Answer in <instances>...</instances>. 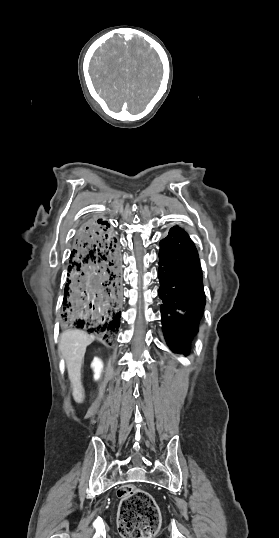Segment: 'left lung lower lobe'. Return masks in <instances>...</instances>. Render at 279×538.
<instances>
[{
    "label": "left lung lower lobe",
    "mask_w": 279,
    "mask_h": 538,
    "mask_svg": "<svg viewBox=\"0 0 279 538\" xmlns=\"http://www.w3.org/2000/svg\"><path fill=\"white\" fill-rule=\"evenodd\" d=\"M159 252L163 333L173 352L187 355L205 306L198 253L187 233L177 226L160 241Z\"/></svg>",
    "instance_id": "left-lung-lower-lobe-1"
}]
</instances>
